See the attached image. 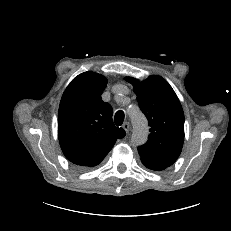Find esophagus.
Returning <instances> with one entry per match:
<instances>
[{"mask_svg": "<svg viewBox=\"0 0 231 231\" xmlns=\"http://www.w3.org/2000/svg\"><path fill=\"white\" fill-rule=\"evenodd\" d=\"M122 127L126 131V133L128 134L129 131H130V124H129V122H125Z\"/></svg>", "mask_w": 231, "mask_h": 231, "instance_id": "obj_1", "label": "esophagus"}]
</instances>
